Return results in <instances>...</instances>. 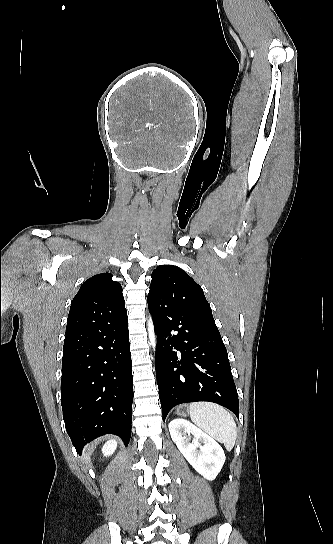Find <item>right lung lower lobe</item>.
<instances>
[{
    "mask_svg": "<svg viewBox=\"0 0 333 544\" xmlns=\"http://www.w3.org/2000/svg\"><path fill=\"white\" fill-rule=\"evenodd\" d=\"M127 314L66 334L61 405L77 453L86 443L115 434L131 437L133 376Z\"/></svg>",
    "mask_w": 333,
    "mask_h": 544,
    "instance_id": "right-lung-lower-lobe-1",
    "label": "right lung lower lobe"
}]
</instances>
